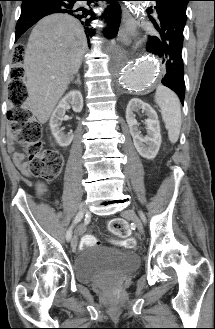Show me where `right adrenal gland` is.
<instances>
[{"instance_id": "obj_1", "label": "right adrenal gland", "mask_w": 215, "mask_h": 329, "mask_svg": "<svg viewBox=\"0 0 215 329\" xmlns=\"http://www.w3.org/2000/svg\"><path fill=\"white\" fill-rule=\"evenodd\" d=\"M76 76H77V79L75 81L72 80L73 83L81 85L80 74H76Z\"/></svg>"}]
</instances>
